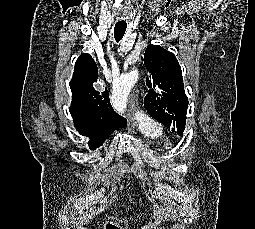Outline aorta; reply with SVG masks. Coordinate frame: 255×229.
<instances>
[{"mask_svg": "<svg viewBox=\"0 0 255 229\" xmlns=\"http://www.w3.org/2000/svg\"><path fill=\"white\" fill-rule=\"evenodd\" d=\"M138 71L133 69L129 73L122 75L113 83L111 104L118 114H123L126 109L128 94L138 80Z\"/></svg>", "mask_w": 255, "mask_h": 229, "instance_id": "1", "label": "aorta"}]
</instances>
